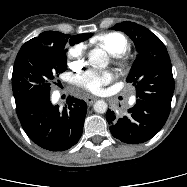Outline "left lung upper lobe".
Listing matches in <instances>:
<instances>
[{
    "mask_svg": "<svg viewBox=\"0 0 187 187\" xmlns=\"http://www.w3.org/2000/svg\"><path fill=\"white\" fill-rule=\"evenodd\" d=\"M112 29L125 32L136 46L138 55L126 79L135 86L136 97L170 108L174 79L165 45L150 30L130 21Z\"/></svg>",
    "mask_w": 187,
    "mask_h": 187,
    "instance_id": "1",
    "label": "left lung upper lobe"
}]
</instances>
